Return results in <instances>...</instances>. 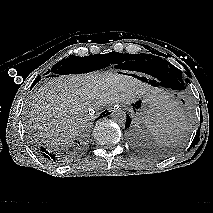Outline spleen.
<instances>
[{"instance_id": "1", "label": "spleen", "mask_w": 213, "mask_h": 213, "mask_svg": "<svg viewBox=\"0 0 213 213\" xmlns=\"http://www.w3.org/2000/svg\"><path fill=\"white\" fill-rule=\"evenodd\" d=\"M185 116L175 103L169 104L157 114L154 122L147 124L148 130L162 144L171 142L183 129Z\"/></svg>"}]
</instances>
